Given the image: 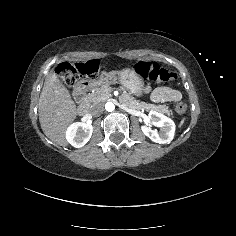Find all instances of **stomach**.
I'll return each instance as SVG.
<instances>
[{
	"label": "stomach",
	"instance_id": "stomach-1",
	"mask_svg": "<svg viewBox=\"0 0 236 236\" xmlns=\"http://www.w3.org/2000/svg\"><path fill=\"white\" fill-rule=\"evenodd\" d=\"M116 80L131 94L141 96L144 88L142 77L134 70L125 68L117 71V77L111 73L102 76L100 83H114Z\"/></svg>",
	"mask_w": 236,
	"mask_h": 236
}]
</instances>
